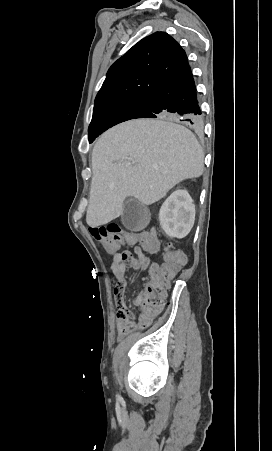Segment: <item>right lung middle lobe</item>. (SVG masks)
Listing matches in <instances>:
<instances>
[{
	"instance_id": "obj_1",
	"label": "right lung middle lobe",
	"mask_w": 272,
	"mask_h": 451,
	"mask_svg": "<svg viewBox=\"0 0 272 451\" xmlns=\"http://www.w3.org/2000/svg\"><path fill=\"white\" fill-rule=\"evenodd\" d=\"M149 100L150 96L124 97L95 105L88 129L89 142L112 126L136 118L147 108Z\"/></svg>"
}]
</instances>
